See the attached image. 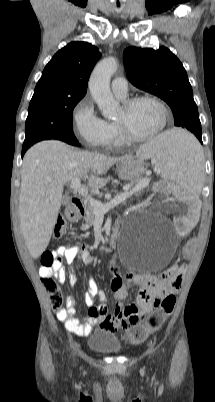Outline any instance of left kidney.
I'll return each mask as SVG.
<instances>
[{
	"label": "left kidney",
	"mask_w": 215,
	"mask_h": 402,
	"mask_svg": "<svg viewBox=\"0 0 215 402\" xmlns=\"http://www.w3.org/2000/svg\"><path fill=\"white\" fill-rule=\"evenodd\" d=\"M158 191L163 200H171L170 209L177 219L176 227L179 231L177 237L186 240L188 232H195V222L200 221V200H196L194 191H187L185 184H159Z\"/></svg>",
	"instance_id": "1"
}]
</instances>
